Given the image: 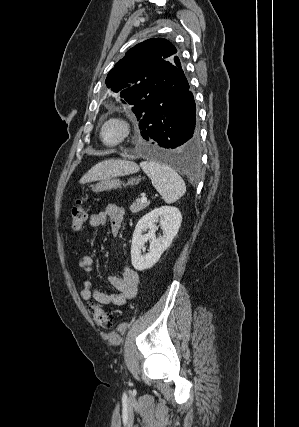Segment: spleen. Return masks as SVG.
I'll list each match as a JSON object with an SVG mask.
<instances>
[{
	"instance_id": "3e777b00",
	"label": "spleen",
	"mask_w": 299,
	"mask_h": 427,
	"mask_svg": "<svg viewBox=\"0 0 299 427\" xmlns=\"http://www.w3.org/2000/svg\"><path fill=\"white\" fill-rule=\"evenodd\" d=\"M140 166L166 203H173L185 194L184 180L169 166L152 160L143 161Z\"/></svg>"
}]
</instances>
